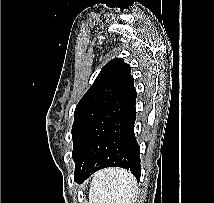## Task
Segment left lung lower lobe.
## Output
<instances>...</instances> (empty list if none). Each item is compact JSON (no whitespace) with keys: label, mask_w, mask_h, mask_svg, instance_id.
I'll return each mask as SVG.
<instances>
[{"label":"left lung lower lobe","mask_w":214,"mask_h":203,"mask_svg":"<svg viewBox=\"0 0 214 203\" xmlns=\"http://www.w3.org/2000/svg\"><path fill=\"white\" fill-rule=\"evenodd\" d=\"M136 94L132 78L90 125L74 157V181L83 182L107 167L125 168L140 180V149L134 136Z\"/></svg>","instance_id":"0a47b994"}]
</instances>
